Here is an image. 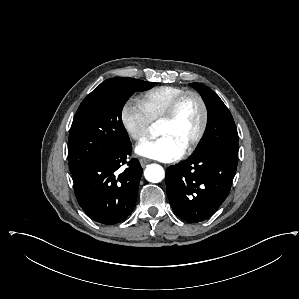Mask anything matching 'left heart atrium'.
I'll return each mask as SVG.
<instances>
[{"instance_id":"obj_1","label":"left heart atrium","mask_w":299,"mask_h":299,"mask_svg":"<svg viewBox=\"0 0 299 299\" xmlns=\"http://www.w3.org/2000/svg\"><path fill=\"white\" fill-rule=\"evenodd\" d=\"M135 152L143 157L171 162L179 159L183 155L184 149L171 138L161 136L154 140H145L139 143Z\"/></svg>"}]
</instances>
